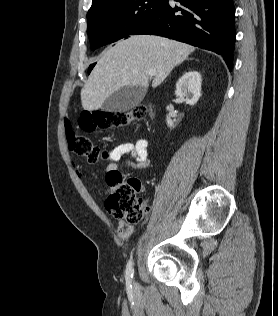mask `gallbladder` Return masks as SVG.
Listing matches in <instances>:
<instances>
[{"mask_svg": "<svg viewBox=\"0 0 278 316\" xmlns=\"http://www.w3.org/2000/svg\"><path fill=\"white\" fill-rule=\"evenodd\" d=\"M146 95L143 86H124L113 92L103 103L105 112H127L138 106Z\"/></svg>", "mask_w": 278, "mask_h": 316, "instance_id": "obj_1", "label": "gallbladder"}]
</instances>
